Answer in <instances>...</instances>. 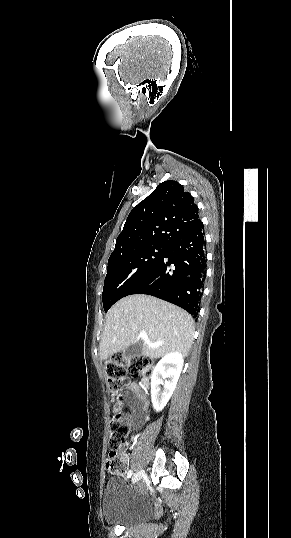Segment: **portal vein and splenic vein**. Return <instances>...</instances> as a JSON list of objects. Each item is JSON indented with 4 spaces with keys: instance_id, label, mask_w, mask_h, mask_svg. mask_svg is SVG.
Wrapping results in <instances>:
<instances>
[{
    "instance_id": "portal-vein-and-splenic-vein-1",
    "label": "portal vein and splenic vein",
    "mask_w": 291,
    "mask_h": 538,
    "mask_svg": "<svg viewBox=\"0 0 291 538\" xmlns=\"http://www.w3.org/2000/svg\"><path fill=\"white\" fill-rule=\"evenodd\" d=\"M139 335H140V337H141L143 340H145V341L148 340V336H147L146 332L142 331V332H140Z\"/></svg>"
}]
</instances>
